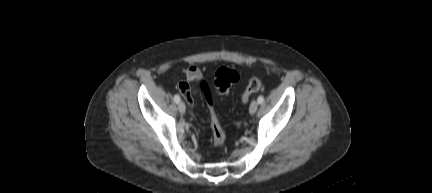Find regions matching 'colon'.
<instances>
[{"label":"colon","mask_w":432,"mask_h":193,"mask_svg":"<svg viewBox=\"0 0 432 193\" xmlns=\"http://www.w3.org/2000/svg\"><path fill=\"white\" fill-rule=\"evenodd\" d=\"M238 80H239V74L237 71L227 67H221L215 73L213 83L219 94H227L230 88L235 83H237ZM261 87H262V82L260 79L256 77L251 78L242 95V101L247 102L249 97L252 94L259 91ZM201 88L210 109V120H211L213 143L218 148H224L226 144V135L221 127L218 116L213 108V99H212L211 91L209 89V86L205 82L201 84Z\"/></svg>","instance_id":"colon-1"}]
</instances>
